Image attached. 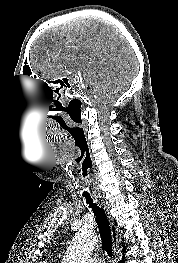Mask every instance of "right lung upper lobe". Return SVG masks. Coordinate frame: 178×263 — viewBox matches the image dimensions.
I'll return each mask as SVG.
<instances>
[{
  "mask_svg": "<svg viewBox=\"0 0 178 263\" xmlns=\"http://www.w3.org/2000/svg\"><path fill=\"white\" fill-rule=\"evenodd\" d=\"M123 249H124V251H125V249H126V246H123Z\"/></svg>",
  "mask_w": 178,
  "mask_h": 263,
  "instance_id": "right-lung-upper-lobe-1",
  "label": "right lung upper lobe"
}]
</instances>
